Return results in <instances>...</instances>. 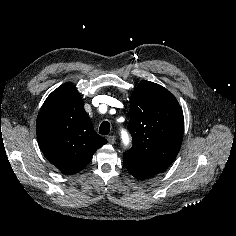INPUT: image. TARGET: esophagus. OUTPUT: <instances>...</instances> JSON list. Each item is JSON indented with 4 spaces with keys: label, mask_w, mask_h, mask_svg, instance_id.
I'll use <instances>...</instances> for the list:
<instances>
[{
    "label": "esophagus",
    "mask_w": 236,
    "mask_h": 236,
    "mask_svg": "<svg viewBox=\"0 0 236 236\" xmlns=\"http://www.w3.org/2000/svg\"><path fill=\"white\" fill-rule=\"evenodd\" d=\"M107 140H108V142H109L110 144H114L116 138H115V136L110 135V136L107 137Z\"/></svg>",
    "instance_id": "1"
}]
</instances>
